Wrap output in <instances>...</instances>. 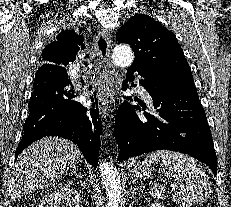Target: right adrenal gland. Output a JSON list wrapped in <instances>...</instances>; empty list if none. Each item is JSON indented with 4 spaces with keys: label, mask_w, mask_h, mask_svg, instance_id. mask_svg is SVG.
Listing matches in <instances>:
<instances>
[{
    "label": "right adrenal gland",
    "mask_w": 231,
    "mask_h": 207,
    "mask_svg": "<svg viewBox=\"0 0 231 207\" xmlns=\"http://www.w3.org/2000/svg\"><path fill=\"white\" fill-rule=\"evenodd\" d=\"M76 171V167L74 166L73 167V172H75ZM77 177H80L79 175H77Z\"/></svg>",
    "instance_id": "1"
}]
</instances>
